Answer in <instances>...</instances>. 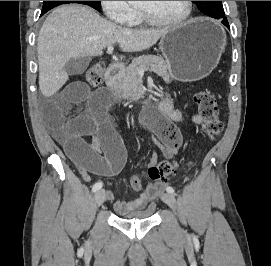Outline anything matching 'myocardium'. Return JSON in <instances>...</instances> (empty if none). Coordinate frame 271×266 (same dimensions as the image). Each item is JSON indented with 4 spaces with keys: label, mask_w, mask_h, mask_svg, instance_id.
<instances>
[{
    "label": "myocardium",
    "mask_w": 271,
    "mask_h": 266,
    "mask_svg": "<svg viewBox=\"0 0 271 266\" xmlns=\"http://www.w3.org/2000/svg\"><path fill=\"white\" fill-rule=\"evenodd\" d=\"M186 3V11L184 15L178 19L175 20H161L156 18L151 12H149L147 9L139 7V12L142 16V18L153 25L157 26H167V27H175L180 26L184 23H186L192 16L193 12V2L192 1H185Z\"/></svg>",
    "instance_id": "1"
}]
</instances>
